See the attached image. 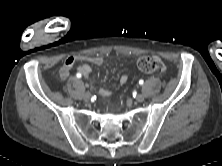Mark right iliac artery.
I'll list each match as a JSON object with an SVG mask.
<instances>
[{"label": "right iliac artery", "instance_id": "82829eb1", "mask_svg": "<svg viewBox=\"0 0 222 166\" xmlns=\"http://www.w3.org/2000/svg\"><path fill=\"white\" fill-rule=\"evenodd\" d=\"M76 76L77 78H81L82 75L80 73H77Z\"/></svg>", "mask_w": 222, "mask_h": 166}]
</instances>
